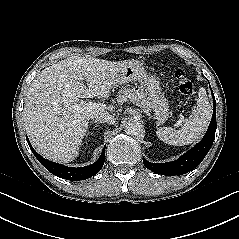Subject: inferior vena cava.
Instances as JSON below:
<instances>
[{"label":"inferior vena cava","instance_id":"inferior-vena-cava-1","mask_svg":"<svg viewBox=\"0 0 239 239\" xmlns=\"http://www.w3.org/2000/svg\"><path fill=\"white\" fill-rule=\"evenodd\" d=\"M91 119L95 121H99V122H106L108 124L115 123V117L111 114L95 115V116H92Z\"/></svg>","mask_w":239,"mask_h":239}]
</instances>
